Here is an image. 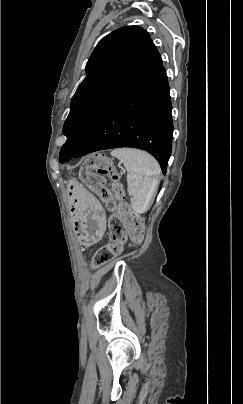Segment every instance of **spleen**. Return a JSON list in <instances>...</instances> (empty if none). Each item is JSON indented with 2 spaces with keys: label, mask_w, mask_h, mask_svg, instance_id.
Listing matches in <instances>:
<instances>
[{
  "label": "spleen",
  "mask_w": 243,
  "mask_h": 404,
  "mask_svg": "<svg viewBox=\"0 0 243 404\" xmlns=\"http://www.w3.org/2000/svg\"><path fill=\"white\" fill-rule=\"evenodd\" d=\"M111 156L118 158L127 170V192L135 214H145L155 194L160 166L150 154L136 148H116Z\"/></svg>",
  "instance_id": "spleen-1"
}]
</instances>
